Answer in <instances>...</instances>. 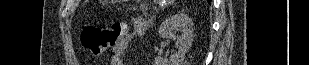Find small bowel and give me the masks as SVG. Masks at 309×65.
<instances>
[{"mask_svg": "<svg viewBox=\"0 0 309 65\" xmlns=\"http://www.w3.org/2000/svg\"><path fill=\"white\" fill-rule=\"evenodd\" d=\"M145 29V20L140 17L135 18L133 21V29L131 31L125 32L114 45L111 65H125L123 58L126 54L129 44L134 38L143 35Z\"/></svg>", "mask_w": 309, "mask_h": 65, "instance_id": "obj_1", "label": "small bowel"}]
</instances>
